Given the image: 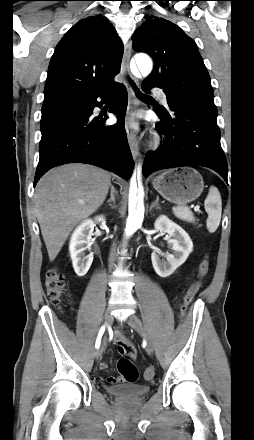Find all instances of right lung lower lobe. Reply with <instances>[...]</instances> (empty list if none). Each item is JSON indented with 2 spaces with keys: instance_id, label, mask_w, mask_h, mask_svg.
Wrapping results in <instances>:
<instances>
[{
  "instance_id": "right-lung-lower-lobe-1",
  "label": "right lung lower lobe",
  "mask_w": 254,
  "mask_h": 440,
  "mask_svg": "<svg viewBox=\"0 0 254 440\" xmlns=\"http://www.w3.org/2000/svg\"><path fill=\"white\" fill-rule=\"evenodd\" d=\"M116 92V102L110 112L118 121L105 126L107 117L94 116L93 109L102 106ZM73 100L43 128L39 146L40 159L34 186L49 169L67 163L91 164L129 179L134 161L128 145L124 118L127 91L123 84L111 90L68 93ZM101 98V102L97 101Z\"/></svg>"
}]
</instances>
